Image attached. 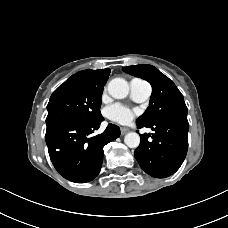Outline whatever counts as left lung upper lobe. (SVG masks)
Listing matches in <instances>:
<instances>
[{
    "mask_svg": "<svg viewBox=\"0 0 228 228\" xmlns=\"http://www.w3.org/2000/svg\"><path fill=\"white\" fill-rule=\"evenodd\" d=\"M124 72L147 80L152 86L150 103L136 122L150 125L156 121L180 112H187L183 95L167 76L152 65L124 67Z\"/></svg>",
    "mask_w": 228,
    "mask_h": 228,
    "instance_id": "1",
    "label": "left lung upper lobe"
}]
</instances>
